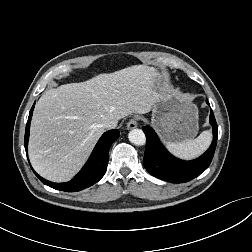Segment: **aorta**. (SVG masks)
Masks as SVG:
<instances>
[{"mask_svg": "<svg viewBox=\"0 0 252 252\" xmlns=\"http://www.w3.org/2000/svg\"><path fill=\"white\" fill-rule=\"evenodd\" d=\"M129 141L137 146H142L146 142V137L141 129H132L128 134Z\"/></svg>", "mask_w": 252, "mask_h": 252, "instance_id": "762f6f07", "label": "aorta"}]
</instances>
